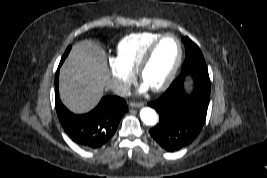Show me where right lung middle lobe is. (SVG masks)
<instances>
[{"instance_id": "dd1d6c3e", "label": "right lung middle lobe", "mask_w": 267, "mask_h": 178, "mask_svg": "<svg viewBox=\"0 0 267 178\" xmlns=\"http://www.w3.org/2000/svg\"><path fill=\"white\" fill-rule=\"evenodd\" d=\"M70 50H71V45L68 46V48L66 49V51H65V53H64V55H63V57H62V59H61V62H63V61L65 60V58H66L67 55L69 54Z\"/></svg>"}]
</instances>
